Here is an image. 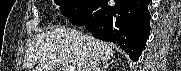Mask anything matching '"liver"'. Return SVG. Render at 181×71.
Masks as SVG:
<instances>
[{
    "mask_svg": "<svg viewBox=\"0 0 181 71\" xmlns=\"http://www.w3.org/2000/svg\"><path fill=\"white\" fill-rule=\"evenodd\" d=\"M92 55L104 64L112 60L114 51L103 41L84 35L75 29L55 28L39 33L30 42L23 68L28 71H87ZM34 66L35 69H34Z\"/></svg>",
    "mask_w": 181,
    "mask_h": 71,
    "instance_id": "obj_1",
    "label": "liver"
}]
</instances>
